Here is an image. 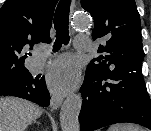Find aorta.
<instances>
[{
	"label": "aorta",
	"instance_id": "obj_1",
	"mask_svg": "<svg viewBox=\"0 0 151 131\" xmlns=\"http://www.w3.org/2000/svg\"><path fill=\"white\" fill-rule=\"evenodd\" d=\"M89 18L84 14L77 15L73 20V27L79 30L87 29ZM82 98L78 94L69 95L63 102L60 111V125L62 131H79V114Z\"/></svg>",
	"mask_w": 151,
	"mask_h": 131
}]
</instances>
